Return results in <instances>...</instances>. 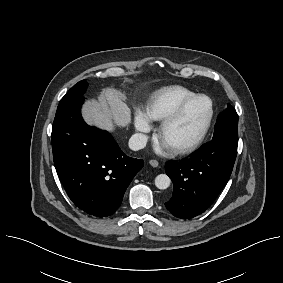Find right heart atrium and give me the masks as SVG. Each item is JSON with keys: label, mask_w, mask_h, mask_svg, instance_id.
Here are the masks:
<instances>
[{"label": "right heart atrium", "mask_w": 283, "mask_h": 283, "mask_svg": "<svg viewBox=\"0 0 283 283\" xmlns=\"http://www.w3.org/2000/svg\"><path fill=\"white\" fill-rule=\"evenodd\" d=\"M135 127L142 134L148 133L151 129V125H150L149 121L142 114L136 115V117H135ZM140 141L143 142L144 140L142 138H140Z\"/></svg>", "instance_id": "obj_1"}]
</instances>
